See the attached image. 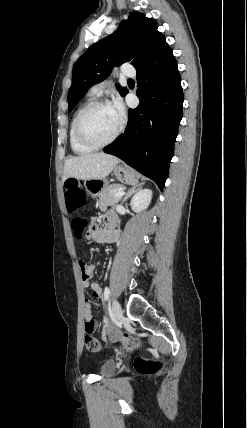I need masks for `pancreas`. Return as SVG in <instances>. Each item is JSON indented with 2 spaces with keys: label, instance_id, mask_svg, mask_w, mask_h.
Wrapping results in <instances>:
<instances>
[{
  "label": "pancreas",
  "instance_id": "pancreas-1",
  "mask_svg": "<svg viewBox=\"0 0 247 428\" xmlns=\"http://www.w3.org/2000/svg\"><path fill=\"white\" fill-rule=\"evenodd\" d=\"M123 186L120 184L107 185L99 194V208L105 210L107 206L116 205L120 198L115 197V193L122 190Z\"/></svg>",
  "mask_w": 247,
  "mask_h": 428
}]
</instances>
